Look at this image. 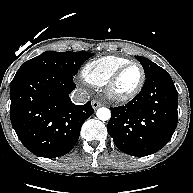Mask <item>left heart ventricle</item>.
<instances>
[{"instance_id": "1", "label": "left heart ventricle", "mask_w": 193, "mask_h": 193, "mask_svg": "<svg viewBox=\"0 0 193 193\" xmlns=\"http://www.w3.org/2000/svg\"><path fill=\"white\" fill-rule=\"evenodd\" d=\"M140 77L141 72L137 66H131L126 69L117 82V93L126 94L131 92L139 83Z\"/></svg>"}]
</instances>
